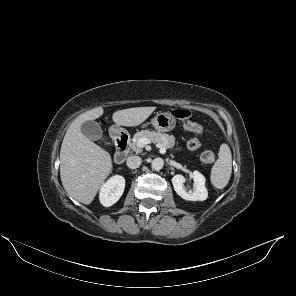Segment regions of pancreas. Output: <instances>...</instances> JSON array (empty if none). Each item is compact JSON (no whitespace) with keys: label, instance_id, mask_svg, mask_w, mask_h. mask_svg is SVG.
I'll list each match as a JSON object with an SVG mask.
<instances>
[{"label":"pancreas","instance_id":"pancreas-1","mask_svg":"<svg viewBox=\"0 0 296 296\" xmlns=\"http://www.w3.org/2000/svg\"><path fill=\"white\" fill-rule=\"evenodd\" d=\"M141 138H146L150 140V142L157 143L161 147H164L165 149H171L175 145V137L173 135H168V134L155 132V131L143 130V131L137 132L129 144V147L136 153L142 152V148L138 146V141Z\"/></svg>","mask_w":296,"mask_h":296}]
</instances>
